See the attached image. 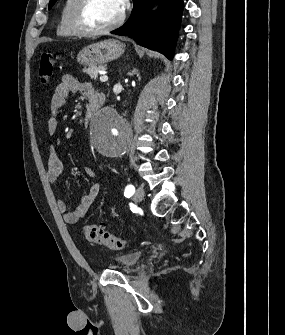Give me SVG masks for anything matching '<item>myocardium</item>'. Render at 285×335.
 <instances>
[{
    "label": "myocardium",
    "instance_id": "f54148a6",
    "mask_svg": "<svg viewBox=\"0 0 285 335\" xmlns=\"http://www.w3.org/2000/svg\"><path fill=\"white\" fill-rule=\"evenodd\" d=\"M128 1H120L119 3V13L116 19L103 28H93L88 25L85 19L86 10L91 3V1H77L74 12H73V24L75 29L80 35L94 37L103 34H107L115 30L124 20L125 7Z\"/></svg>",
    "mask_w": 285,
    "mask_h": 335
}]
</instances>
